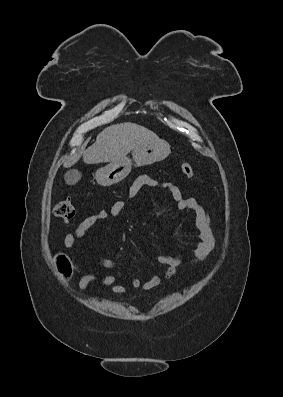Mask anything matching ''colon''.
I'll use <instances>...</instances> for the list:
<instances>
[{"label": "colon", "instance_id": "colon-1", "mask_svg": "<svg viewBox=\"0 0 283 397\" xmlns=\"http://www.w3.org/2000/svg\"><path fill=\"white\" fill-rule=\"evenodd\" d=\"M180 170L188 179L194 176L192 165L188 162L181 163ZM54 213L57 217L64 221H68L74 217L75 207L70 199H63L55 206ZM55 261L59 273L66 279L70 278L73 272V265L70 257L64 253H57L55 255Z\"/></svg>", "mask_w": 283, "mask_h": 397}]
</instances>
